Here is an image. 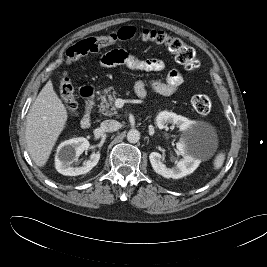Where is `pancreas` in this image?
I'll return each instance as SVG.
<instances>
[{
  "label": "pancreas",
  "instance_id": "cf45deb5",
  "mask_svg": "<svg viewBox=\"0 0 267 267\" xmlns=\"http://www.w3.org/2000/svg\"><path fill=\"white\" fill-rule=\"evenodd\" d=\"M117 92L113 87H108L104 89L103 95H101L98 99L100 100L99 112L105 116H112L117 113L116 107L114 106V102L116 100Z\"/></svg>",
  "mask_w": 267,
  "mask_h": 267
}]
</instances>
